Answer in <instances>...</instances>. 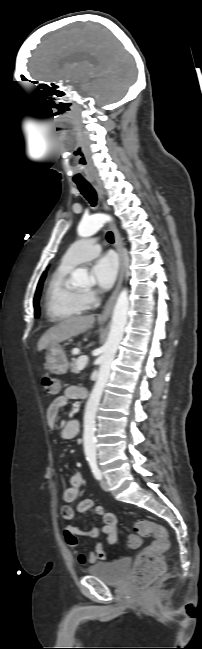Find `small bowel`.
<instances>
[{
    "label": "small bowel",
    "mask_w": 202,
    "mask_h": 649,
    "mask_svg": "<svg viewBox=\"0 0 202 649\" xmlns=\"http://www.w3.org/2000/svg\"><path fill=\"white\" fill-rule=\"evenodd\" d=\"M85 395L86 390L81 386L71 385L66 387L64 394L55 398L49 404L46 410V422L48 427L51 430L55 429L60 410L64 408L70 400L82 399L85 397ZM78 429V420L75 418L69 419L60 429H58V436L61 439H72L77 435ZM82 484L83 478L81 474L75 472L70 478L68 487H66L62 492L61 498L63 502L72 503L76 501L79 496ZM92 509L102 517V520L104 522L103 526L92 527L90 529H80L71 523L75 517L74 509L69 505L62 507L61 516L66 522L64 536L69 547L76 549L81 544V541L79 539L80 536L96 540L101 533L105 534L108 537L109 546H116L118 524L117 517L113 513L106 512L102 506H96L93 500L90 499L81 501L77 505L76 511L82 513ZM108 517H112L113 521L110 522L108 520ZM76 553L81 564H93L98 560H106L107 558L103 546L99 541H95L93 550L80 549L77 550Z\"/></svg>",
    "instance_id": "1"
}]
</instances>
